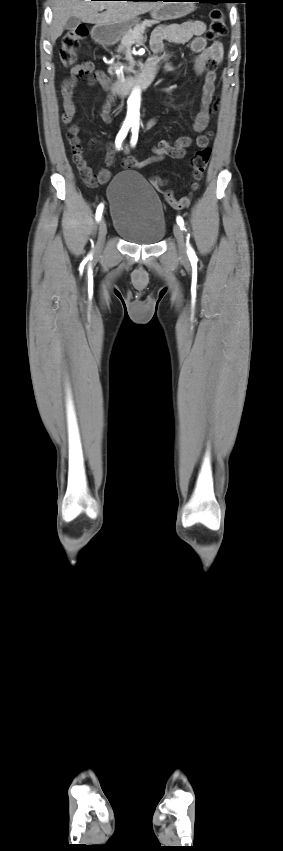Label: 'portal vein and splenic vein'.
Wrapping results in <instances>:
<instances>
[{
	"instance_id": "1",
	"label": "portal vein and splenic vein",
	"mask_w": 283,
	"mask_h": 851,
	"mask_svg": "<svg viewBox=\"0 0 283 851\" xmlns=\"http://www.w3.org/2000/svg\"><path fill=\"white\" fill-rule=\"evenodd\" d=\"M103 9H104V7L102 6V7H101V10H103Z\"/></svg>"
}]
</instances>
